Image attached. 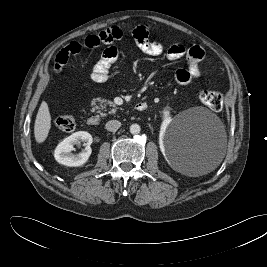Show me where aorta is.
Returning a JSON list of instances; mask_svg holds the SVG:
<instances>
[{
	"label": "aorta",
	"instance_id": "aorta-1",
	"mask_svg": "<svg viewBox=\"0 0 267 267\" xmlns=\"http://www.w3.org/2000/svg\"><path fill=\"white\" fill-rule=\"evenodd\" d=\"M141 131V128L138 124H132L130 126V133L131 134H139Z\"/></svg>",
	"mask_w": 267,
	"mask_h": 267
}]
</instances>
